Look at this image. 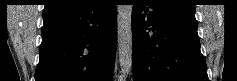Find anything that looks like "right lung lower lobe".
<instances>
[{
  "instance_id": "obj_1",
  "label": "right lung lower lobe",
  "mask_w": 237,
  "mask_h": 81,
  "mask_svg": "<svg viewBox=\"0 0 237 81\" xmlns=\"http://www.w3.org/2000/svg\"><path fill=\"white\" fill-rule=\"evenodd\" d=\"M35 81H112L116 52L113 0H83L43 15Z\"/></svg>"
}]
</instances>
